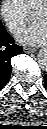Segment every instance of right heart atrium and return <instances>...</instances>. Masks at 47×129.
Wrapping results in <instances>:
<instances>
[{"mask_svg": "<svg viewBox=\"0 0 47 129\" xmlns=\"http://www.w3.org/2000/svg\"><path fill=\"white\" fill-rule=\"evenodd\" d=\"M0 13L11 31H16L21 27L29 16V11L21 0H2Z\"/></svg>", "mask_w": 47, "mask_h": 129, "instance_id": "d8ad5b80", "label": "right heart atrium"}]
</instances>
